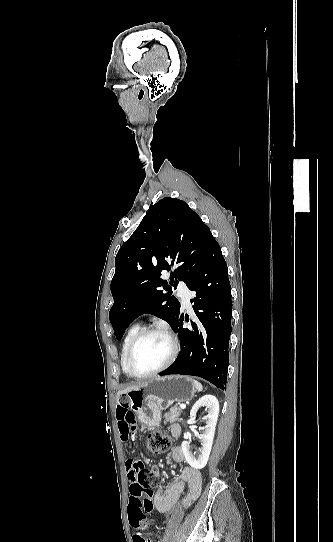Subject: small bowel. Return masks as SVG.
<instances>
[{"label": "small bowel", "mask_w": 333, "mask_h": 542, "mask_svg": "<svg viewBox=\"0 0 333 542\" xmlns=\"http://www.w3.org/2000/svg\"><path fill=\"white\" fill-rule=\"evenodd\" d=\"M116 418L118 420V433L120 440L128 444L134 439V432L137 429V426L134 422V414L128 408V406L119 403L116 407ZM171 433L174 436H179L181 429L180 426L174 424L171 426ZM171 458L176 463H182L183 461V451L179 447H175L171 451ZM133 461L127 462V468L129 471V477L133 480ZM134 481V480H133ZM187 484L188 493L186 497L182 500V508H187L195 501L202 490V476L199 470L194 467L186 466L183 467L179 475L173 480L164 491H157L154 495V506L159 512L169 511L179 500L180 495L184 490V486ZM134 482L132 484L133 491ZM138 510L135 504L134 499L132 498L129 510H128V520L129 524L133 527L134 530L142 529V522L137 520ZM137 520V521H136Z\"/></svg>", "instance_id": "1"}]
</instances>
